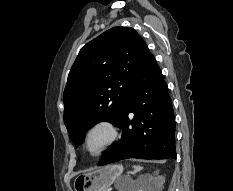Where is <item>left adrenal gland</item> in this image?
Here are the masks:
<instances>
[{
  "mask_svg": "<svg viewBox=\"0 0 233 191\" xmlns=\"http://www.w3.org/2000/svg\"><path fill=\"white\" fill-rule=\"evenodd\" d=\"M141 170V167H138V166H134V173L138 172Z\"/></svg>",
  "mask_w": 233,
  "mask_h": 191,
  "instance_id": "obj_1",
  "label": "left adrenal gland"
}]
</instances>
